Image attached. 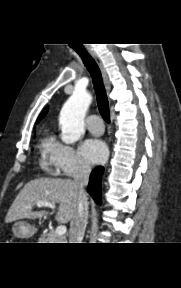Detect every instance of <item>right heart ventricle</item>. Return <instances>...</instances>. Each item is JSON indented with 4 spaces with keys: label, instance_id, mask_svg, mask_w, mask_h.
I'll return each mask as SVG.
<instances>
[{
    "label": "right heart ventricle",
    "instance_id": "obj_1",
    "mask_svg": "<svg viewBox=\"0 0 181 288\" xmlns=\"http://www.w3.org/2000/svg\"><path fill=\"white\" fill-rule=\"evenodd\" d=\"M52 142H53V140L50 137L44 138L42 140V142H41L42 155H43L42 161H43V163H46V161H47L48 150H49V147H50Z\"/></svg>",
    "mask_w": 181,
    "mask_h": 288
}]
</instances>
